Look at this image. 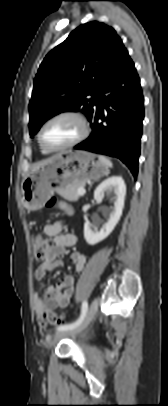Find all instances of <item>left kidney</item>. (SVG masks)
Masks as SVG:
<instances>
[{"label":"left kidney","mask_w":168,"mask_h":406,"mask_svg":"<svg viewBox=\"0 0 168 406\" xmlns=\"http://www.w3.org/2000/svg\"><path fill=\"white\" fill-rule=\"evenodd\" d=\"M105 195L111 197L114 206L109 212L108 221L99 231H96V224H84V238L89 245H95L108 237L120 220L126 195V185L121 176L107 178L94 191V199L98 202H101Z\"/></svg>","instance_id":"5707ae66"}]
</instances>
